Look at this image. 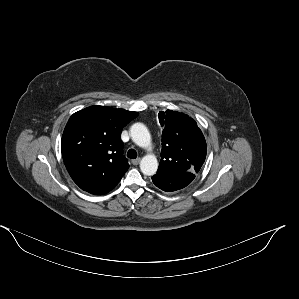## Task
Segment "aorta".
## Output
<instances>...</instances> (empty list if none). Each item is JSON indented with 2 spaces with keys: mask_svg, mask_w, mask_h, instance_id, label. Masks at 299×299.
<instances>
[{
  "mask_svg": "<svg viewBox=\"0 0 299 299\" xmlns=\"http://www.w3.org/2000/svg\"><path fill=\"white\" fill-rule=\"evenodd\" d=\"M130 135L133 142L139 147L151 148V135L147 127L142 123H134L130 127ZM140 169L144 175H154L158 169V161L155 155L147 154L140 162Z\"/></svg>",
  "mask_w": 299,
  "mask_h": 299,
  "instance_id": "obj_1",
  "label": "aorta"
}]
</instances>
